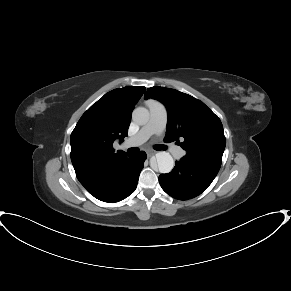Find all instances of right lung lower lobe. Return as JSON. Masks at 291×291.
Wrapping results in <instances>:
<instances>
[{"label": "right lung lower lobe", "mask_w": 291, "mask_h": 291, "mask_svg": "<svg viewBox=\"0 0 291 291\" xmlns=\"http://www.w3.org/2000/svg\"><path fill=\"white\" fill-rule=\"evenodd\" d=\"M146 153L128 154L112 163L76 172L85 189L104 202H118L136 189Z\"/></svg>", "instance_id": "obj_1"}]
</instances>
